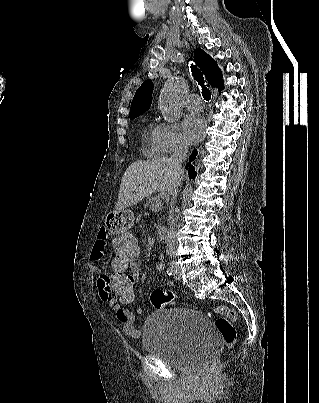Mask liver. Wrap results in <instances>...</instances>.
Instances as JSON below:
<instances>
[{
  "label": "liver",
  "instance_id": "1",
  "mask_svg": "<svg viewBox=\"0 0 319 403\" xmlns=\"http://www.w3.org/2000/svg\"><path fill=\"white\" fill-rule=\"evenodd\" d=\"M183 179V170L176 171L170 158L133 162L125 171L116 203V210L136 205L156 191H167Z\"/></svg>",
  "mask_w": 319,
  "mask_h": 403
}]
</instances>
